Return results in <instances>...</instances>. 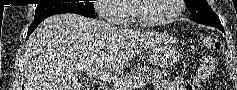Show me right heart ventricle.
Segmentation results:
<instances>
[{
  "label": "right heart ventricle",
  "instance_id": "right-heart-ventricle-1",
  "mask_svg": "<svg viewBox=\"0 0 237 90\" xmlns=\"http://www.w3.org/2000/svg\"><path fill=\"white\" fill-rule=\"evenodd\" d=\"M117 11H126V7H117L116 8ZM119 28H138L137 24L133 23V21H131L130 23L128 24H123V25H120Z\"/></svg>",
  "mask_w": 237,
  "mask_h": 90
}]
</instances>
